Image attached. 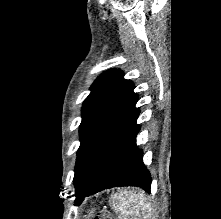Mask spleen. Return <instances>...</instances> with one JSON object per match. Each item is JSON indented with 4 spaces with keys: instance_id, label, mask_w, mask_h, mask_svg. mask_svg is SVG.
<instances>
[{
    "instance_id": "1",
    "label": "spleen",
    "mask_w": 221,
    "mask_h": 219,
    "mask_svg": "<svg viewBox=\"0 0 221 219\" xmlns=\"http://www.w3.org/2000/svg\"><path fill=\"white\" fill-rule=\"evenodd\" d=\"M110 204L119 219H148L153 214L151 204L143 192L120 191L111 196Z\"/></svg>"
}]
</instances>
